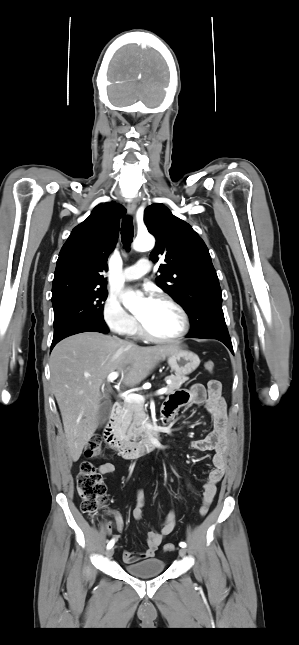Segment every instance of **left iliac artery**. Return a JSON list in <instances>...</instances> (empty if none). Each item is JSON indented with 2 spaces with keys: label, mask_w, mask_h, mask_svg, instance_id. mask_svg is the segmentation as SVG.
I'll list each match as a JSON object with an SVG mask.
<instances>
[{
  "label": "left iliac artery",
  "mask_w": 299,
  "mask_h": 645,
  "mask_svg": "<svg viewBox=\"0 0 299 645\" xmlns=\"http://www.w3.org/2000/svg\"><path fill=\"white\" fill-rule=\"evenodd\" d=\"M179 546H180V547H182V548H185V547H186V543H185V542H180V543H179Z\"/></svg>",
  "instance_id": "44dca946"
}]
</instances>
